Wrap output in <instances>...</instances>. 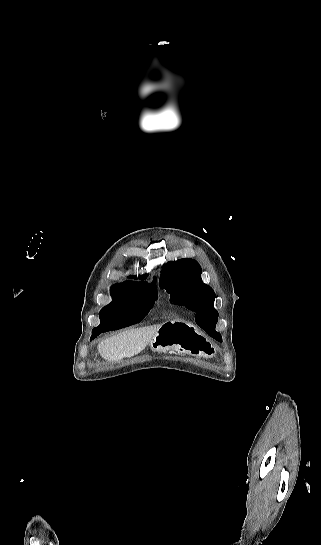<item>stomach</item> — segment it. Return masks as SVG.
I'll return each mask as SVG.
<instances>
[{"instance_id": "0dacf381", "label": "stomach", "mask_w": 321, "mask_h": 545, "mask_svg": "<svg viewBox=\"0 0 321 545\" xmlns=\"http://www.w3.org/2000/svg\"><path fill=\"white\" fill-rule=\"evenodd\" d=\"M209 341L205 335L185 321H167L158 329L155 337L150 341V349L154 353H168L177 351L180 355L192 357H206Z\"/></svg>"}]
</instances>
